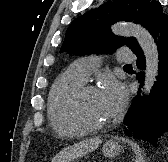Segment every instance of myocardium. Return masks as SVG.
<instances>
[{
	"mask_svg": "<svg viewBox=\"0 0 168 162\" xmlns=\"http://www.w3.org/2000/svg\"><path fill=\"white\" fill-rule=\"evenodd\" d=\"M89 92H98V89L92 85L82 84L73 91L67 101V112L71 119L82 127L85 131L101 130L109 125L108 122L92 123L88 121L82 112L83 97Z\"/></svg>",
	"mask_w": 168,
	"mask_h": 162,
	"instance_id": "1",
	"label": "myocardium"
}]
</instances>
